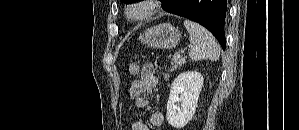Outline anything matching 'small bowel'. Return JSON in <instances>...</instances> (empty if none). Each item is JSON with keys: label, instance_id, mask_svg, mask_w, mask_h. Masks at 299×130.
<instances>
[{"label": "small bowel", "instance_id": "small-bowel-1", "mask_svg": "<svg viewBox=\"0 0 299 130\" xmlns=\"http://www.w3.org/2000/svg\"><path fill=\"white\" fill-rule=\"evenodd\" d=\"M158 80L155 75V67L152 63H145L138 79L134 80L130 87V96L138 109H145L149 102L146 95L150 94L157 86ZM154 127H160L163 124V115L160 112H154L150 118ZM132 130H149V127L143 121L137 120L132 123Z\"/></svg>", "mask_w": 299, "mask_h": 130}]
</instances>
